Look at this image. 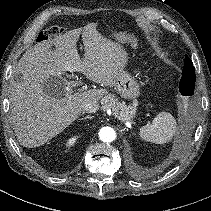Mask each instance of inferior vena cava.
Masks as SVG:
<instances>
[{
  "mask_svg": "<svg viewBox=\"0 0 211 211\" xmlns=\"http://www.w3.org/2000/svg\"><path fill=\"white\" fill-rule=\"evenodd\" d=\"M98 109V105L94 103H86L83 107V111L87 113H95Z\"/></svg>",
  "mask_w": 211,
  "mask_h": 211,
  "instance_id": "obj_1",
  "label": "inferior vena cava"
}]
</instances>
